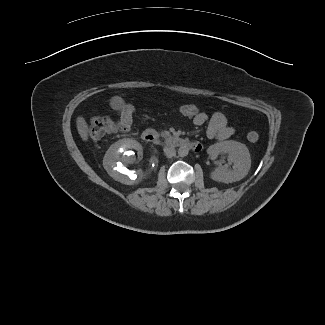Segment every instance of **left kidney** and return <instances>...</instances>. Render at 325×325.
Segmentation results:
<instances>
[{
  "instance_id": "5707ae66",
  "label": "left kidney",
  "mask_w": 325,
  "mask_h": 325,
  "mask_svg": "<svg viewBox=\"0 0 325 325\" xmlns=\"http://www.w3.org/2000/svg\"><path fill=\"white\" fill-rule=\"evenodd\" d=\"M210 155L228 154L229 162L233 163L232 168L227 165L216 168L211 173V178L217 182L232 183L240 181L249 172L251 157L245 144L237 141H222L211 145L208 148Z\"/></svg>"
}]
</instances>
